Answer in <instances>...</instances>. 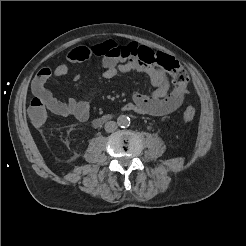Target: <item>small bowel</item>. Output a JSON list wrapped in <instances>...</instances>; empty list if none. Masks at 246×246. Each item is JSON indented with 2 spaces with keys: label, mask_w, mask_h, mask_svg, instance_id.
Masks as SVG:
<instances>
[{
  "label": "small bowel",
  "mask_w": 246,
  "mask_h": 246,
  "mask_svg": "<svg viewBox=\"0 0 246 246\" xmlns=\"http://www.w3.org/2000/svg\"><path fill=\"white\" fill-rule=\"evenodd\" d=\"M136 44L121 45L114 41H106L93 46H79L72 49L66 57L67 62L56 66L42 68L32 81L31 89L35 95L42 96L49 106V110L58 116H73L85 121L90 115V99L97 93V88L90 91L85 97L68 98L60 101L45 89L46 82L51 77H62L69 73L70 64L98 58L101 62V75L111 79L119 74L132 71L145 73L153 89L148 93L134 92L132 101L122 109L136 113L165 116L177 110L183 103L186 92H180L171 85L169 75L158 65H147L136 57ZM80 79V75L75 77Z\"/></svg>",
  "instance_id": "1"
}]
</instances>
